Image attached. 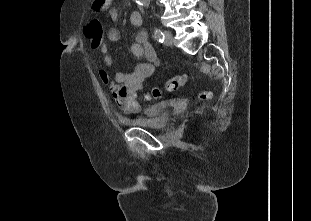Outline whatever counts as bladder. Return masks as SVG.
I'll return each mask as SVG.
<instances>
[{"mask_svg":"<svg viewBox=\"0 0 311 221\" xmlns=\"http://www.w3.org/2000/svg\"><path fill=\"white\" fill-rule=\"evenodd\" d=\"M168 101L165 99L161 102L151 104L150 108H143V115L146 117L129 118L126 124L132 128H145L148 130H165L170 124L171 116L167 112Z\"/></svg>","mask_w":311,"mask_h":221,"instance_id":"31cf9c89","label":"bladder"}]
</instances>
